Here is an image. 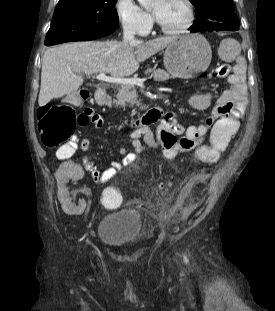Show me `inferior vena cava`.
Returning a JSON list of instances; mask_svg holds the SVG:
<instances>
[{
	"mask_svg": "<svg viewBox=\"0 0 275 311\" xmlns=\"http://www.w3.org/2000/svg\"><path fill=\"white\" fill-rule=\"evenodd\" d=\"M134 39V32L130 30H124L123 32V43H133Z\"/></svg>",
	"mask_w": 275,
	"mask_h": 311,
	"instance_id": "1",
	"label": "inferior vena cava"
}]
</instances>
